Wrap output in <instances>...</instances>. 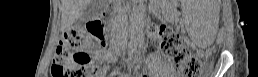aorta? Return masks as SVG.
<instances>
[{
  "label": "aorta",
  "mask_w": 258,
  "mask_h": 77,
  "mask_svg": "<svg viewBox=\"0 0 258 77\" xmlns=\"http://www.w3.org/2000/svg\"><path fill=\"white\" fill-rule=\"evenodd\" d=\"M132 16H133V17H138V13H137L136 11H133V12H132Z\"/></svg>",
  "instance_id": "obj_1"
}]
</instances>
